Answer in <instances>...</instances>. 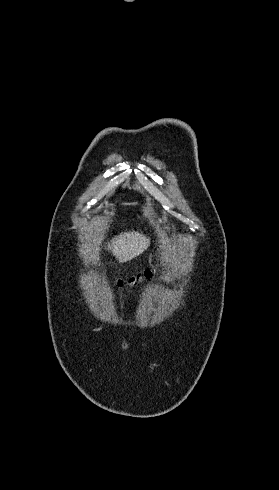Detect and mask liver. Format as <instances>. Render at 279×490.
I'll return each instance as SVG.
<instances>
[{"label":"liver","mask_w":279,"mask_h":490,"mask_svg":"<svg viewBox=\"0 0 279 490\" xmlns=\"http://www.w3.org/2000/svg\"><path fill=\"white\" fill-rule=\"evenodd\" d=\"M148 246H150V240L143 234H139V232H122L120 236H116V238L111 240L107 250H110L113 256L117 258L119 264H122V262H129V260L137 258L139 254L147 250Z\"/></svg>","instance_id":"6515ba94"}]
</instances>
